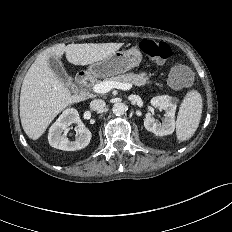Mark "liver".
<instances>
[{"label":"liver","mask_w":232,"mask_h":232,"mask_svg":"<svg viewBox=\"0 0 232 232\" xmlns=\"http://www.w3.org/2000/svg\"><path fill=\"white\" fill-rule=\"evenodd\" d=\"M122 46L123 43H60L42 52L29 68L21 87L20 119L27 136L37 140L63 109L86 99L71 95L50 69V56L59 58L65 54L74 65H88L109 57Z\"/></svg>","instance_id":"1"}]
</instances>
